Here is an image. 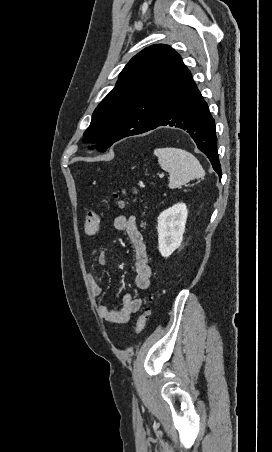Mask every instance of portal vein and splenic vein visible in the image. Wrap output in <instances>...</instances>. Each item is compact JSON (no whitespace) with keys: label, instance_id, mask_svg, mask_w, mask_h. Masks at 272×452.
<instances>
[{"label":"portal vein and splenic vein","instance_id":"1","mask_svg":"<svg viewBox=\"0 0 272 452\" xmlns=\"http://www.w3.org/2000/svg\"><path fill=\"white\" fill-rule=\"evenodd\" d=\"M159 176H160V177H163L164 175H163V174H160Z\"/></svg>","mask_w":272,"mask_h":452}]
</instances>
